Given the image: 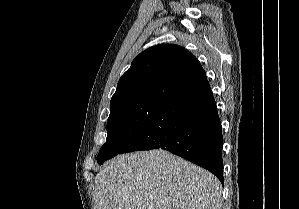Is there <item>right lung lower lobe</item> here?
I'll use <instances>...</instances> for the list:
<instances>
[{
    "instance_id": "1",
    "label": "right lung lower lobe",
    "mask_w": 299,
    "mask_h": 209,
    "mask_svg": "<svg viewBox=\"0 0 299 209\" xmlns=\"http://www.w3.org/2000/svg\"><path fill=\"white\" fill-rule=\"evenodd\" d=\"M222 144L215 99L202 73L167 98L119 154L164 149L209 170L224 184Z\"/></svg>"
}]
</instances>
